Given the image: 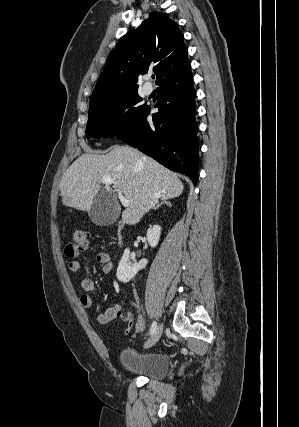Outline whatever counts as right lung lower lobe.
Returning <instances> with one entry per match:
<instances>
[{
  "label": "right lung lower lobe",
  "instance_id": "right-lung-lower-lobe-1",
  "mask_svg": "<svg viewBox=\"0 0 299 427\" xmlns=\"http://www.w3.org/2000/svg\"><path fill=\"white\" fill-rule=\"evenodd\" d=\"M158 113L149 124L147 109L141 120L117 137L172 171L189 175L198 181V139L195 121V91L191 70L166 79L158 87Z\"/></svg>",
  "mask_w": 299,
  "mask_h": 427
}]
</instances>
